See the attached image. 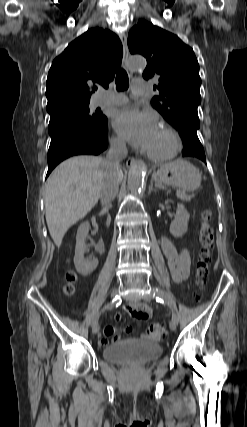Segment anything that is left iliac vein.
<instances>
[{
  "label": "left iliac vein",
  "mask_w": 247,
  "mask_h": 427,
  "mask_svg": "<svg viewBox=\"0 0 247 427\" xmlns=\"http://www.w3.org/2000/svg\"><path fill=\"white\" fill-rule=\"evenodd\" d=\"M143 299H144L145 301L149 302V301H151L152 296H151L150 294H147V295H145V296H144V298H143ZM177 324H178V322H177L176 320L172 319V320L170 321V324H169L170 329H171L172 331H175V330H176V327H177Z\"/></svg>",
  "instance_id": "obj_1"
}]
</instances>
